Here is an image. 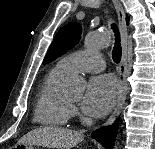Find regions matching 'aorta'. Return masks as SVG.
Instances as JSON below:
<instances>
[{"mask_svg": "<svg viewBox=\"0 0 155 149\" xmlns=\"http://www.w3.org/2000/svg\"><path fill=\"white\" fill-rule=\"evenodd\" d=\"M111 38L108 33L88 32L84 39L88 50H96L109 45ZM84 82L80 78H71L65 83V90L70 94L79 95L83 92Z\"/></svg>", "mask_w": 155, "mask_h": 149, "instance_id": "aorta-1", "label": "aorta"}]
</instances>
